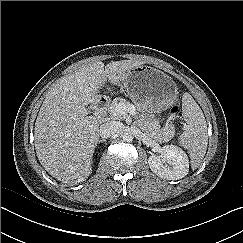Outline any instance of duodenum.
Masks as SVG:
<instances>
[{
	"mask_svg": "<svg viewBox=\"0 0 243 243\" xmlns=\"http://www.w3.org/2000/svg\"><path fill=\"white\" fill-rule=\"evenodd\" d=\"M109 99L106 96L99 95L94 101V108L99 118L103 117L107 110Z\"/></svg>",
	"mask_w": 243,
	"mask_h": 243,
	"instance_id": "410a0bca",
	"label": "duodenum"
}]
</instances>
